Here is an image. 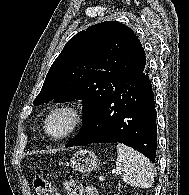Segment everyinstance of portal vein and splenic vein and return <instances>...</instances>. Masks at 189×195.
Returning <instances> with one entry per match:
<instances>
[{"label":"portal vein and splenic vein","instance_id":"18ae733b","mask_svg":"<svg viewBox=\"0 0 189 195\" xmlns=\"http://www.w3.org/2000/svg\"><path fill=\"white\" fill-rule=\"evenodd\" d=\"M99 180L103 182L105 180V177L104 176H100Z\"/></svg>","mask_w":189,"mask_h":195}]
</instances>
